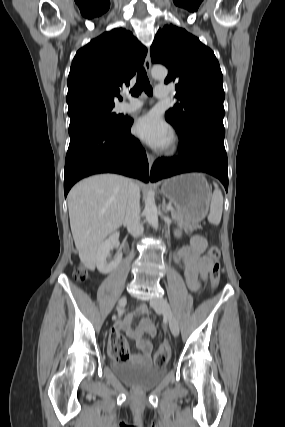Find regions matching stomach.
Here are the masks:
<instances>
[{
    "label": "stomach",
    "mask_w": 285,
    "mask_h": 427,
    "mask_svg": "<svg viewBox=\"0 0 285 427\" xmlns=\"http://www.w3.org/2000/svg\"><path fill=\"white\" fill-rule=\"evenodd\" d=\"M161 191L186 217L187 222L196 224L208 213L211 190L202 174L190 173L163 181Z\"/></svg>",
    "instance_id": "stomach-1"
}]
</instances>
